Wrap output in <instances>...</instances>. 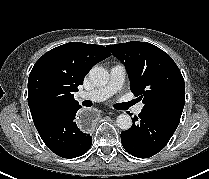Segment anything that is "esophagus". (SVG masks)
<instances>
[{"instance_id":"esophagus-1","label":"esophagus","mask_w":209,"mask_h":179,"mask_svg":"<svg viewBox=\"0 0 209 179\" xmlns=\"http://www.w3.org/2000/svg\"><path fill=\"white\" fill-rule=\"evenodd\" d=\"M98 119V112L93 107L79 109L74 114V121L79 130L90 131Z\"/></svg>"}]
</instances>
